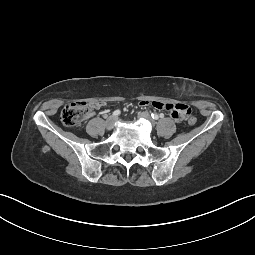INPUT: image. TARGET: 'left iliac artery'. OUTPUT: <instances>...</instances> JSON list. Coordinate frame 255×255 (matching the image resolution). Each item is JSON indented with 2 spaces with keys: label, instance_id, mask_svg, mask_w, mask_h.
<instances>
[{
  "label": "left iliac artery",
  "instance_id": "left-iliac-artery-1",
  "mask_svg": "<svg viewBox=\"0 0 255 255\" xmlns=\"http://www.w3.org/2000/svg\"><path fill=\"white\" fill-rule=\"evenodd\" d=\"M151 116H152V118L154 120H158L159 119V116L156 113H152Z\"/></svg>",
  "mask_w": 255,
  "mask_h": 255
}]
</instances>
